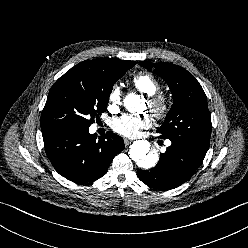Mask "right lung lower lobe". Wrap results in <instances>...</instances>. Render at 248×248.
Here are the masks:
<instances>
[{"mask_svg": "<svg viewBox=\"0 0 248 248\" xmlns=\"http://www.w3.org/2000/svg\"><path fill=\"white\" fill-rule=\"evenodd\" d=\"M46 154L56 171L75 183L102 177L124 149L123 139L108 132L99 137L89 128L56 127L42 130Z\"/></svg>", "mask_w": 248, "mask_h": 248, "instance_id": "right-lung-lower-lobe-1", "label": "right lung lower lobe"}]
</instances>
